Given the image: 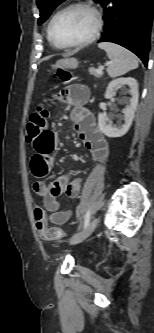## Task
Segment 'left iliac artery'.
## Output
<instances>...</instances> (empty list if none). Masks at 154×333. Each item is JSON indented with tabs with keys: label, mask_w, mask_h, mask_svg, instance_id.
Listing matches in <instances>:
<instances>
[{
	"label": "left iliac artery",
	"mask_w": 154,
	"mask_h": 333,
	"mask_svg": "<svg viewBox=\"0 0 154 333\" xmlns=\"http://www.w3.org/2000/svg\"><path fill=\"white\" fill-rule=\"evenodd\" d=\"M90 218H91V211L88 210L85 214V217H84V229L87 227V225L89 224L90 222Z\"/></svg>",
	"instance_id": "obj_1"
}]
</instances>
